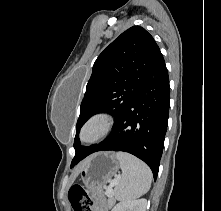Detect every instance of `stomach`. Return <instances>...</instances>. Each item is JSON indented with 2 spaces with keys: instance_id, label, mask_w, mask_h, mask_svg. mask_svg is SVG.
I'll return each mask as SVG.
<instances>
[{
  "instance_id": "obj_1",
  "label": "stomach",
  "mask_w": 221,
  "mask_h": 211,
  "mask_svg": "<svg viewBox=\"0 0 221 211\" xmlns=\"http://www.w3.org/2000/svg\"><path fill=\"white\" fill-rule=\"evenodd\" d=\"M119 169V162L112 152H99L92 155L82 170L81 179L90 192H101L102 187L111 180Z\"/></svg>"
}]
</instances>
